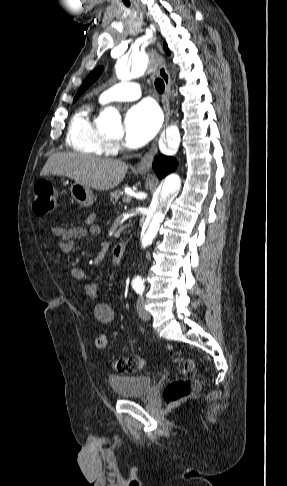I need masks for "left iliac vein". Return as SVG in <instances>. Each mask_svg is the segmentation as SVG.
<instances>
[{
  "label": "left iliac vein",
  "instance_id": "4c4485c4",
  "mask_svg": "<svg viewBox=\"0 0 287 486\" xmlns=\"http://www.w3.org/2000/svg\"><path fill=\"white\" fill-rule=\"evenodd\" d=\"M137 312L139 317L143 321H148L151 318L150 313L145 309V299L143 296H140L137 300Z\"/></svg>",
  "mask_w": 287,
  "mask_h": 486
}]
</instances>
